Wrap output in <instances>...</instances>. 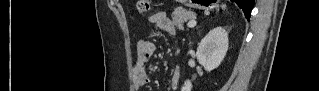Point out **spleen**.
Returning <instances> with one entry per match:
<instances>
[{
    "label": "spleen",
    "instance_id": "spleen-1",
    "mask_svg": "<svg viewBox=\"0 0 319 91\" xmlns=\"http://www.w3.org/2000/svg\"><path fill=\"white\" fill-rule=\"evenodd\" d=\"M226 8V5H222V9H225Z\"/></svg>",
    "mask_w": 319,
    "mask_h": 91
}]
</instances>
